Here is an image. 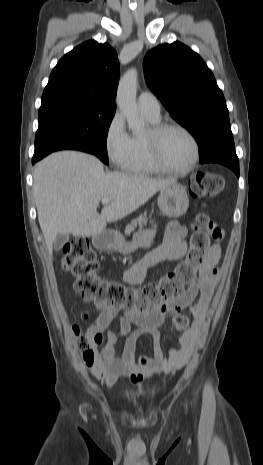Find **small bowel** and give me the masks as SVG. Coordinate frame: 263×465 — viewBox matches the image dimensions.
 Masks as SVG:
<instances>
[{
  "label": "small bowel",
  "instance_id": "c3829d8e",
  "mask_svg": "<svg viewBox=\"0 0 263 465\" xmlns=\"http://www.w3.org/2000/svg\"><path fill=\"white\" fill-rule=\"evenodd\" d=\"M188 233V227L171 222L167 226L162 243L126 270L124 281L131 285L140 284L150 267L163 261L183 258L187 252ZM221 236V231L216 229L213 237L219 240ZM220 252L219 244H214L206 255L199 279L184 293L150 310L138 312L95 302L100 314L94 327L100 333L106 331V342L92 366L93 375L108 386H114L121 379L139 385L161 372L168 373L185 366L194 349L196 335L205 320L218 280L217 262ZM185 309H188L193 317V326L183 331L179 338V348H171L166 357L159 327L169 320L173 323V319ZM118 313H121V316L117 327L108 330ZM133 327L135 328L132 329ZM143 335H149L153 339L152 357L136 355V343ZM121 338H125V343L121 356L117 357L114 344Z\"/></svg>",
  "mask_w": 263,
  "mask_h": 465
}]
</instances>
